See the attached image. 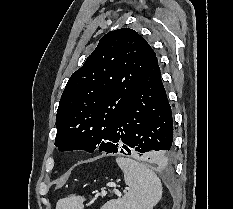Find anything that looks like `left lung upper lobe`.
<instances>
[{"label": "left lung upper lobe", "mask_w": 233, "mask_h": 209, "mask_svg": "<svg viewBox=\"0 0 233 209\" xmlns=\"http://www.w3.org/2000/svg\"><path fill=\"white\" fill-rule=\"evenodd\" d=\"M155 58L147 41L132 29L104 35L71 75L59 101L55 140L59 150L101 151L111 124Z\"/></svg>", "instance_id": "obj_1"}]
</instances>
